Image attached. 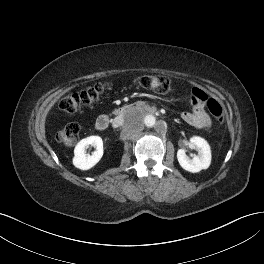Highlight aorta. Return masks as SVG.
Returning a JSON list of instances; mask_svg holds the SVG:
<instances>
[{
  "instance_id": "762f6f07",
  "label": "aorta",
  "mask_w": 264,
  "mask_h": 264,
  "mask_svg": "<svg viewBox=\"0 0 264 264\" xmlns=\"http://www.w3.org/2000/svg\"><path fill=\"white\" fill-rule=\"evenodd\" d=\"M142 122L146 127L152 128L156 125V118L153 115H146Z\"/></svg>"
}]
</instances>
